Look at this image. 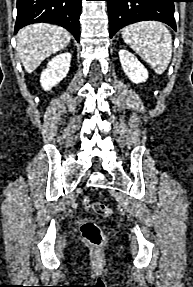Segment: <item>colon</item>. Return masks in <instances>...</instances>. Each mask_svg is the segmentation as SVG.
<instances>
[{
	"mask_svg": "<svg viewBox=\"0 0 193 287\" xmlns=\"http://www.w3.org/2000/svg\"><path fill=\"white\" fill-rule=\"evenodd\" d=\"M83 204L85 208L92 209L100 216L111 215V210L102 203L92 202L89 198H85ZM81 235L83 240L94 248L100 247L104 241L100 226L93 221H87L81 226Z\"/></svg>",
	"mask_w": 193,
	"mask_h": 287,
	"instance_id": "1",
	"label": "colon"
}]
</instances>
